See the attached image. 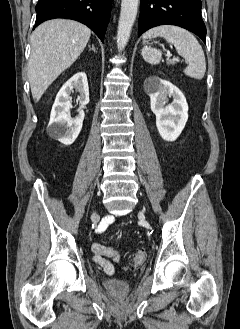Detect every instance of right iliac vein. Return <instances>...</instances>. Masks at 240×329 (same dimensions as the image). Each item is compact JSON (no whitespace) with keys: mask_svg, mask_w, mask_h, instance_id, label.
<instances>
[{"mask_svg":"<svg viewBox=\"0 0 240 329\" xmlns=\"http://www.w3.org/2000/svg\"><path fill=\"white\" fill-rule=\"evenodd\" d=\"M97 215V213L94 211L93 213H92V217H95Z\"/></svg>","mask_w":240,"mask_h":329,"instance_id":"63e3f726","label":"right iliac vein"}]
</instances>
